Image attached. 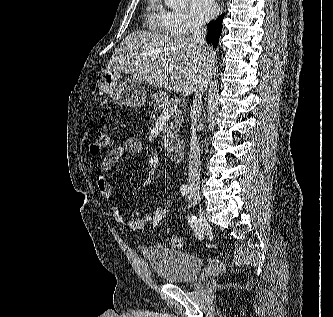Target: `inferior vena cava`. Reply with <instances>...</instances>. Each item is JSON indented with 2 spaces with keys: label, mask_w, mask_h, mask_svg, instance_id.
Segmentation results:
<instances>
[{
  "label": "inferior vena cava",
  "mask_w": 333,
  "mask_h": 317,
  "mask_svg": "<svg viewBox=\"0 0 333 317\" xmlns=\"http://www.w3.org/2000/svg\"><path fill=\"white\" fill-rule=\"evenodd\" d=\"M191 41L197 44L202 49H207L206 46V33L207 30L201 23L194 22L191 26ZM210 67L212 61L210 60ZM210 81V74L205 75L199 79L197 90L193 99L191 107V137H190V152H189V186L192 189L199 190L200 187V147L196 135V125L202 111V97L207 90Z\"/></svg>",
  "instance_id": "obj_1"
}]
</instances>
